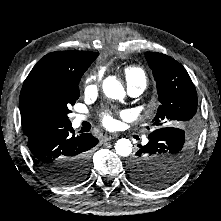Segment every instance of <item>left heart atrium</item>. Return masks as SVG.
Instances as JSON below:
<instances>
[{
  "label": "left heart atrium",
  "mask_w": 221,
  "mask_h": 221,
  "mask_svg": "<svg viewBox=\"0 0 221 221\" xmlns=\"http://www.w3.org/2000/svg\"><path fill=\"white\" fill-rule=\"evenodd\" d=\"M102 122L103 124L108 127L111 128L114 125V119L110 114H104L103 118H102Z\"/></svg>",
  "instance_id": "39dd6f15"
}]
</instances>
